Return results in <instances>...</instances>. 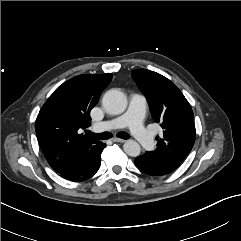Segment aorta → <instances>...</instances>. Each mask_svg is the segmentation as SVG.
Listing matches in <instances>:
<instances>
[{
    "instance_id": "762f6f07",
    "label": "aorta",
    "mask_w": 241,
    "mask_h": 241,
    "mask_svg": "<svg viewBox=\"0 0 241 241\" xmlns=\"http://www.w3.org/2000/svg\"><path fill=\"white\" fill-rule=\"evenodd\" d=\"M102 105L107 113L118 115L125 111L127 99L123 92L111 89L104 94ZM123 149L124 152L131 157H137L141 152L139 143L134 140H127L123 145Z\"/></svg>"
}]
</instances>
